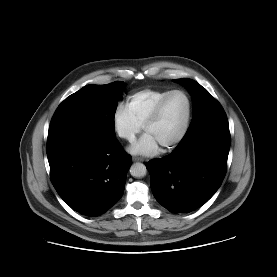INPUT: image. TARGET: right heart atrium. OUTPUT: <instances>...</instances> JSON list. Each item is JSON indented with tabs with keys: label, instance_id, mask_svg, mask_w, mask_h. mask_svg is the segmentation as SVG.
Instances as JSON below:
<instances>
[{
	"label": "right heart atrium",
	"instance_id": "right-heart-atrium-1",
	"mask_svg": "<svg viewBox=\"0 0 277 277\" xmlns=\"http://www.w3.org/2000/svg\"><path fill=\"white\" fill-rule=\"evenodd\" d=\"M116 134L123 140L132 142L142 130V126L132 117L126 105L119 104L112 117Z\"/></svg>",
	"mask_w": 277,
	"mask_h": 277
}]
</instances>
